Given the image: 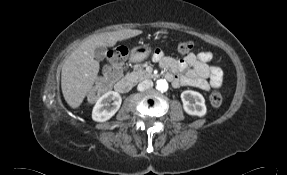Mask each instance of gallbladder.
<instances>
[{
  "mask_svg": "<svg viewBox=\"0 0 287 175\" xmlns=\"http://www.w3.org/2000/svg\"><path fill=\"white\" fill-rule=\"evenodd\" d=\"M106 49L105 47H97L95 50V59L101 61L105 58Z\"/></svg>",
  "mask_w": 287,
  "mask_h": 175,
  "instance_id": "gallbladder-1",
  "label": "gallbladder"
}]
</instances>
